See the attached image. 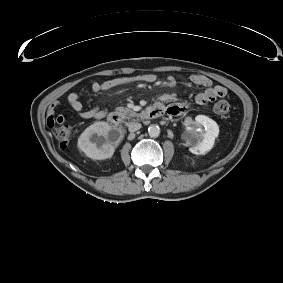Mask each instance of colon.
<instances>
[{"label":"colon","instance_id":"obj_1","mask_svg":"<svg viewBox=\"0 0 283 283\" xmlns=\"http://www.w3.org/2000/svg\"><path fill=\"white\" fill-rule=\"evenodd\" d=\"M230 109V104L226 100L217 101L213 107L214 113L219 116H226ZM54 135L61 145H67L71 137V128L69 125L61 123L54 129Z\"/></svg>","mask_w":283,"mask_h":283}]
</instances>
